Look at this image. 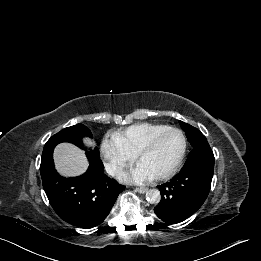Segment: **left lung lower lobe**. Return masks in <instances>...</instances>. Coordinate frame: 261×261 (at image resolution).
Segmentation results:
<instances>
[{
	"mask_svg": "<svg viewBox=\"0 0 261 261\" xmlns=\"http://www.w3.org/2000/svg\"><path fill=\"white\" fill-rule=\"evenodd\" d=\"M214 155L207 141L194 147L182 170L170 182L159 185L161 201L154 208L164 222L174 224L193 215L210 191Z\"/></svg>",
	"mask_w": 261,
	"mask_h": 261,
	"instance_id": "obj_1",
	"label": "left lung lower lobe"
}]
</instances>
